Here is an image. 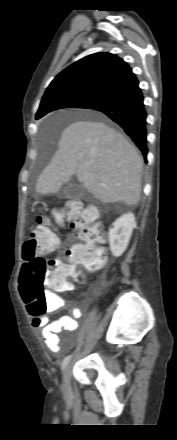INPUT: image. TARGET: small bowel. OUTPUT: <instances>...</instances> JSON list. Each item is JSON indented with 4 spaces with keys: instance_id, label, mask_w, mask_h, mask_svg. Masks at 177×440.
<instances>
[{
    "instance_id": "1",
    "label": "small bowel",
    "mask_w": 177,
    "mask_h": 440,
    "mask_svg": "<svg viewBox=\"0 0 177 440\" xmlns=\"http://www.w3.org/2000/svg\"><path fill=\"white\" fill-rule=\"evenodd\" d=\"M72 288L73 286L69 284L67 289L60 291H69ZM48 298L49 311H57L62 307V299L58 295L50 293ZM66 311L68 313L67 315L61 316L55 320H50L47 315H41L34 317L33 319V326L41 329L43 340L53 353H61L63 350L60 337L58 336L60 332H76L79 329L77 319L82 315L81 309L78 307H68L66 308ZM72 341V338L67 339L65 344H71Z\"/></svg>"
}]
</instances>
